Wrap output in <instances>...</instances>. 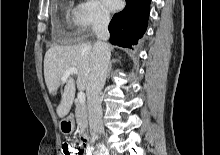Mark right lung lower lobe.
Wrapping results in <instances>:
<instances>
[{
  "label": "right lung lower lobe",
  "mask_w": 220,
  "mask_h": 155,
  "mask_svg": "<svg viewBox=\"0 0 220 155\" xmlns=\"http://www.w3.org/2000/svg\"><path fill=\"white\" fill-rule=\"evenodd\" d=\"M151 0H126L127 6L109 24L110 42L129 48L146 31Z\"/></svg>",
  "instance_id": "right-lung-lower-lobe-1"
}]
</instances>
